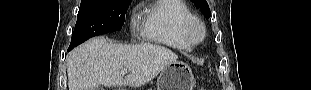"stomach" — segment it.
<instances>
[{
  "label": "stomach",
  "mask_w": 311,
  "mask_h": 90,
  "mask_svg": "<svg viewBox=\"0 0 311 90\" xmlns=\"http://www.w3.org/2000/svg\"><path fill=\"white\" fill-rule=\"evenodd\" d=\"M194 85L192 69L182 61L164 68L157 79V90H192Z\"/></svg>",
  "instance_id": "obj_1"
}]
</instances>
